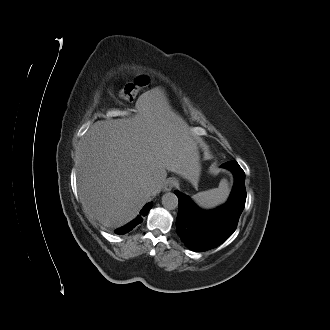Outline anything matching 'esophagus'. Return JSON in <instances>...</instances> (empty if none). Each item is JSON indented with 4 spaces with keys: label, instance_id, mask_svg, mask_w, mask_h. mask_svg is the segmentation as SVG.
<instances>
[{
    "label": "esophagus",
    "instance_id": "34e87169",
    "mask_svg": "<svg viewBox=\"0 0 330 330\" xmlns=\"http://www.w3.org/2000/svg\"><path fill=\"white\" fill-rule=\"evenodd\" d=\"M177 184V181L174 178H169L164 183V190L169 191L171 190L175 185Z\"/></svg>",
    "mask_w": 330,
    "mask_h": 330
}]
</instances>
